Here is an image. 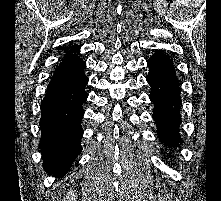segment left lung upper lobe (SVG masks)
<instances>
[{
	"mask_svg": "<svg viewBox=\"0 0 221 201\" xmlns=\"http://www.w3.org/2000/svg\"><path fill=\"white\" fill-rule=\"evenodd\" d=\"M157 54H161V55H164V54H162L161 52H156ZM166 56V55H165Z\"/></svg>",
	"mask_w": 221,
	"mask_h": 201,
	"instance_id": "obj_1",
	"label": "left lung upper lobe"
}]
</instances>
